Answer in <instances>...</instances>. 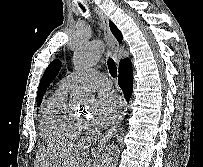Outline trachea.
Segmentation results:
<instances>
[{"label":"trachea","mask_w":203,"mask_h":167,"mask_svg":"<svg viewBox=\"0 0 203 167\" xmlns=\"http://www.w3.org/2000/svg\"><path fill=\"white\" fill-rule=\"evenodd\" d=\"M80 8L84 12L86 11L85 7H83L82 5H80ZM107 64H108V69H109V73L111 74V76L113 78L117 77V67H116V64H115L114 60L109 57L108 61H107Z\"/></svg>","instance_id":"trachea-1"}]
</instances>
